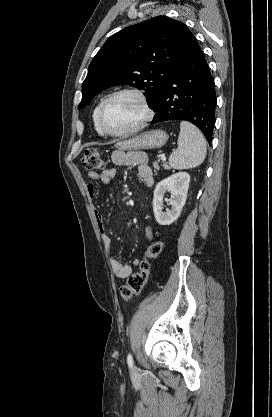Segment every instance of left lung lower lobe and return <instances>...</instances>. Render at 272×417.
Listing matches in <instances>:
<instances>
[{
	"mask_svg": "<svg viewBox=\"0 0 272 417\" xmlns=\"http://www.w3.org/2000/svg\"><path fill=\"white\" fill-rule=\"evenodd\" d=\"M216 94L213 77L199 49L167 80L158 96L152 123L186 120L211 142L215 123Z\"/></svg>",
	"mask_w": 272,
	"mask_h": 417,
	"instance_id": "obj_1",
	"label": "left lung lower lobe"
}]
</instances>
